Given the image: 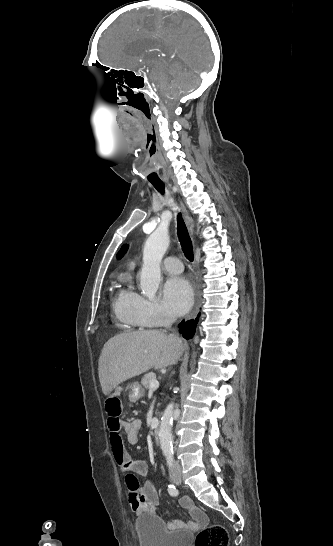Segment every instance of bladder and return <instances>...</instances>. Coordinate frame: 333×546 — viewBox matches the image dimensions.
<instances>
[{
	"label": "bladder",
	"mask_w": 333,
	"mask_h": 546,
	"mask_svg": "<svg viewBox=\"0 0 333 546\" xmlns=\"http://www.w3.org/2000/svg\"><path fill=\"white\" fill-rule=\"evenodd\" d=\"M140 546H191L188 531H170L163 521L152 514L139 516L134 523Z\"/></svg>",
	"instance_id": "obj_1"
}]
</instances>
